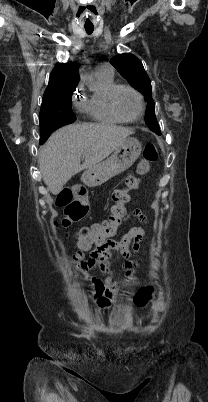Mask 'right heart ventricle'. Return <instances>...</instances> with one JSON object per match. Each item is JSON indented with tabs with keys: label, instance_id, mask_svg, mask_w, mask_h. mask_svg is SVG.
Wrapping results in <instances>:
<instances>
[{
	"label": "right heart ventricle",
	"instance_id": "right-heart-ventricle-1",
	"mask_svg": "<svg viewBox=\"0 0 208 402\" xmlns=\"http://www.w3.org/2000/svg\"><path fill=\"white\" fill-rule=\"evenodd\" d=\"M96 76L100 83V89L92 93L87 105L91 123L96 126H118L123 124L124 122L113 115L109 106L110 93L117 84L113 78L101 74H96Z\"/></svg>",
	"mask_w": 208,
	"mask_h": 402
}]
</instances>
